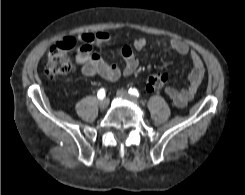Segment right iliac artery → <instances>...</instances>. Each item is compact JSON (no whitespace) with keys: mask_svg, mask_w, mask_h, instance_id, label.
<instances>
[{"mask_svg":"<svg viewBox=\"0 0 245 195\" xmlns=\"http://www.w3.org/2000/svg\"><path fill=\"white\" fill-rule=\"evenodd\" d=\"M97 96H98L99 99H103L105 97V89L104 88H101L98 91Z\"/></svg>","mask_w":245,"mask_h":195,"instance_id":"right-iliac-artery-1","label":"right iliac artery"}]
</instances>
